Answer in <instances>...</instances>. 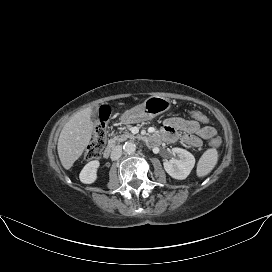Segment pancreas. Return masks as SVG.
<instances>
[{
  "label": "pancreas",
  "instance_id": "pancreas-1",
  "mask_svg": "<svg viewBox=\"0 0 272 272\" xmlns=\"http://www.w3.org/2000/svg\"><path fill=\"white\" fill-rule=\"evenodd\" d=\"M130 126L127 127H123L121 130H124V134H119V135H114L113 138L110 140L111 143H116V142H123L126 139L130 138V139H134L136 138L133 134L129 133L127 131V129H129Z\"/></svg>",
  "mask_w": 272,
  "mask_h": 272
}]
</instances>
